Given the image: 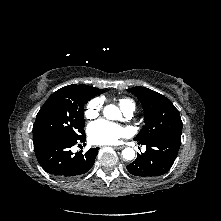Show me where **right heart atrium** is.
Wrapping results in <instances>:
<instances>
[{
  "mask_svg": "<svg viewBox=\"0 0 221 221\" xmlns=\"http://www.w3.org/2000/svg\"><path fill=\"white\" fill-rule=\"evenodd\" d=\"M102 100L94 98L90 100L85 106L84 115L87 119H94L99 116L102 109Z\"/></svg>",
  "mask_w": 221,
  "mask_h": 221,
  "instance_id": "right-heart-atrium-1",
  "label": "right heart atrium"
}]
</instances>
